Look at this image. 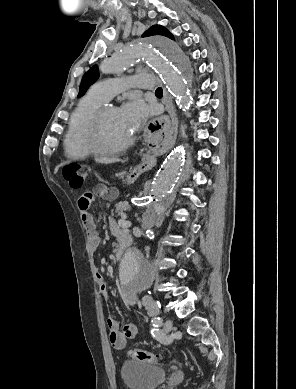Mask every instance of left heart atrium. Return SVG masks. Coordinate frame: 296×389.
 Returning <instances> with one entry per match:
<instances>
[{
  "instance_id": "left-heart-atrium-1",
  "label": "left heart atrium",
  "mask_w": 296,
  "mask_h": 389,
  "mask_svg": "<svg viewBox=\"0 0 296 389\" xmlns=\"http://www.w3.org/2000/svg\"><path fill=\"white\" fill-rule=\"evenodd\" d=\"M118 111L125 127L131 134L137 132L149 116L147 105L136 97L125 103Z\"/></svg>"
}]
</instances>
